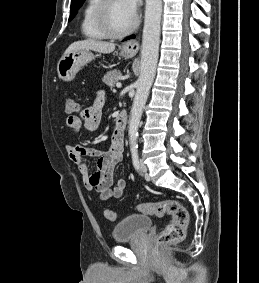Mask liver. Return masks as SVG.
I'll list each match as a JSON object with an SVG mask.
<instances>
[{"mask_svg":"<svg viewBox=\"0 0 259 283\" xmlns=\"http://www.w3.org/2000/svg\"><path fill=\"white\" fill-rule=\"evenodd\" d=\"M78 49H88L97 51L100 53H111L115 50V44L105 41H99L95 39H86L81 41H76L72 43L65 51L64 55L68 53L78 50Z\"/></svg>","mask_w":259,"mask_h":283,"instance_id":"1","label":"liver"}]
</instances>
